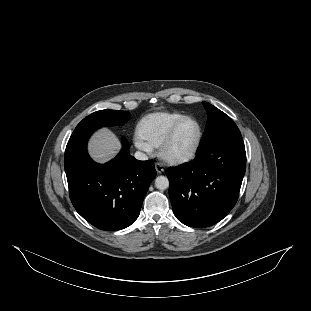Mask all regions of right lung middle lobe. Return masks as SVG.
Here are the masks:
<instances>
[{
    "instance_id": "1",
    "label": "right lung middle lobe",
    "mask_w": 311,
    "mask_h": 311,
    "mask_svg": "<svg viewBox=\"0 0 311 311\" xmlns=\"http://www.w3.org/2000/svg\"><path fill=\"white\" fill-rule=\"evenodd\" d=\"M129 113L122 110H100L85 117L75 128L79 131L86 128H100L106 126H116L127 122Z\"/></svg>"
}]
</instances>
